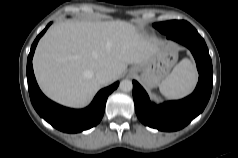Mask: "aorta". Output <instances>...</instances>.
Masks as SVG:
<instances>
[{
    "instance_id": "762f6f07",
    "label": "aorta",
    "mask_w": 238,
    "mask_h": 158,
    "mask_svg": "<svg viewBox=\"0 0 238 158\" xmlns=\"http://www.w3.org/2000/svg\"><path fill=\"white\" fill-rule=\"evenodd\" d=\"M119 88L123 92H130L133 88L131 80L125 79L120 82Z\"/></svg>"
}]
</instances>
